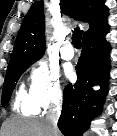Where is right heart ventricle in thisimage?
Here are the masks:
<instances>
[{
  "instance_id": "1",
  "label": "right heart ventricle",
  "mask_w": 117,
  "mask_h": 136,
  "mask_svg": "<svg viewBox=\"0 0 117 136\" xmlns=\"http://www.w3.org/2000/svg\"><path fill=\"white\" fill-rule=\"evenodd\" d=\"M15 109L23 115H36L39 112V107L33 102L30 96H27L20 88L14 102Z\"/></svg>"
}]
</instances>
